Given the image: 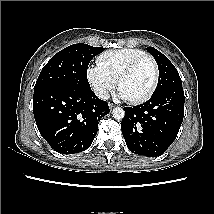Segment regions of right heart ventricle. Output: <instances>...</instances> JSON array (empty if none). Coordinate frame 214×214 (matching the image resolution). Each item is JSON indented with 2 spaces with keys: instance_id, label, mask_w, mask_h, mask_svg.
<instances>
[{
  "instance_id": "obj_1",
  "label": "right heart ventricle",
  "mask_w": 214,
  "mask_h": 214,
  "mask_svg": "<svg viewBox=\"0 0 214 214\" xmlns=\"http://www.w3.org/2000/svg\"><path fill=\"white\" fill-rule=\"evenodd\" d=\"M144 55H146V53L140 49L119 48L106 51L99 55L97 64L117 79L124 67L130 64L133 60Z\"/></svg>"
}]
</instances>
